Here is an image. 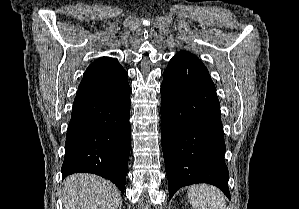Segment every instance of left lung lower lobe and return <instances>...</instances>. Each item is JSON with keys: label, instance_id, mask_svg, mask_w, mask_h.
Wrapping results in <instances>:
<instances>
[{"label": "left lung lower lobe", "instance_id": "left-lung-lower-lobe-1", "mask_svg": "<svg viewBox=\"0 0 299 209\" xmlns=\"http://www.w3.org/2000/svg\"><path fill=\"white\" fill-rule=\"evenodd\" d=\"M161 138L170 198L183 186L209 183L230 199L220 103L201 61L173 57L165 69Z\"/></svg>", "mask_w": 299, "mask_h": 209}]
</instances>
